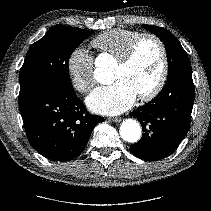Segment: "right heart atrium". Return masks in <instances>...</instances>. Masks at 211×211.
<instances>
[{
  "instance_id": "obj_1",
  "label": "right heart atrium",
  "mask_w": 211,
  "mask_h": 211,
  "mask_svg": "<svg viewBox=\"0 0 211 211\" xmlns=\"http://www.w3.org/2000/svg\"><path fill=\"white\" fill-rule=\"evenodd\" d=\"M67 72L73 88L88 93L96 84L93 56L82 46L75 47L66 62Z\"/></svg>"
}]
</instances>
